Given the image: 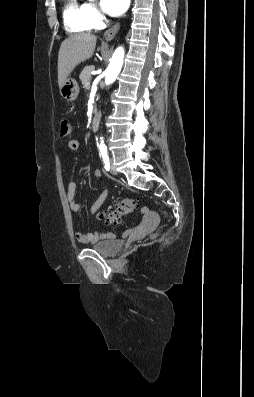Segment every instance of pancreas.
<instances>
[{
  "label": "pancreas",
  "instance_id": "cf45deb5",
  "mask_svg": "<svg viewBox=\"0 0 254 397\" xmlns=\"http://www.w3.org/2000/svg\"><path fill=\"white\" fill-rule=\"evenodd\" d=\"M94 70V66L93 65H89L84 67V69L82 70L79 78L81 80V83L83 84L84 87H88L86 84L88 82H90L91 80V71Z\"/></svg>",
  "mask_w": 254,
  "mask_h": 397
}]
</instances>
